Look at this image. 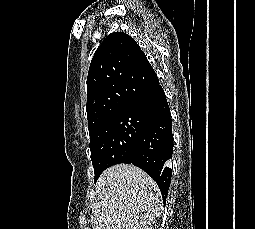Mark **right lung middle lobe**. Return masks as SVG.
Returning <instances> with one entry per match:
<instances>
[{
    "instance_id": "obj_1",
    "label": "right lung middle lobe",
    "mask_w": 255,
    "mask_h": 229,
    "mask_svg": "<svg viewBox=\"0 0 255 229\" xmlns=\"http://www.w3.org/2000/svg\"><path fill=\"white\" fill-rule=\"evenodd\" d=\"M142 124L140 117L124 109L100 124L90 135L94 182L108 167L132 160Z\"/></svg>"
}]
</instances>
